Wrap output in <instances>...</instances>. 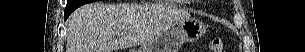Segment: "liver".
Wrapping results in <instances>:
<instances>
[{
	"label": "liver",
	"mask_w": 305,
	"mask_h": 52,
	"mask_svg": "<svg viewBox=\"0 0 305 52\" xmlns=\"http://www.w3.org/2000/svg\"><path fill=\"white\" fill-rule=\"evenodd\" d=\"M67 26L66 52H114L161 33L150 22L147 8L133 4H86L72 13Z\"/></svg>",
	"instance_id": "obj_1"
}]
</instances>
